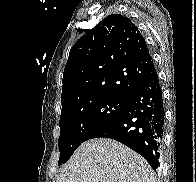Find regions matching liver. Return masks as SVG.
Returning a JSON list of instances; mask_svg holds the SVG:
<instances>
[{"instance_id":"obj_1","label":"liver","mask_w":196,"mask_h":182,"mask_svg":"<svg viewBox=\"0 0 196 182\" xmlns=\"http://www.w3.org/2000/svg\"><path fill=\"white\" fill-rule=\"evenodd\" d=\"M56 182H156L147 161L125 145L106 138L82 143Z\"/></svg>"}]
</instances>
